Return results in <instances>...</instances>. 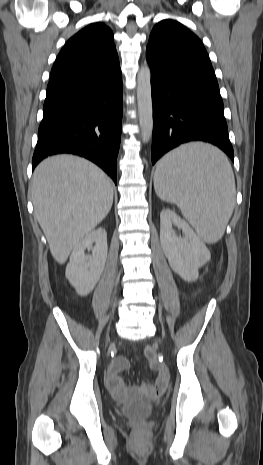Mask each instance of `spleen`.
Here are the masks:
<instances>
[{"label":"spleen","mask_w":263,"mask_h":465,"mask_svg":"<svg viewBox=\"0 0 263 465\" xmlns=\"http://www.w3.org/2000/svg\"><path fill=\"white\" fill-rule=\"evenodd\" d=\"M157 196L176 204L199 237L219 241L233 213L235 179L227 157L207 144H186L162 157L156 166Z\"/></svg>","instance_id":"3e777b00"}]
</instances>
